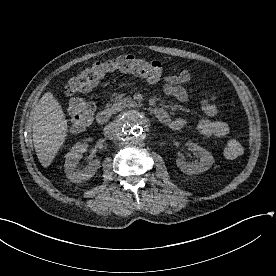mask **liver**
I'll return each mask as SVG.
<instances>
[{"instance_id":"liver-1","label":"liver","mask_w":276,"mask_h":276,"mask_svg":"<svg viewBox=\"0 0 276 276\" xmlns=\"http://www.w3.org/2000/svg\"><path fill=\"white\" fill-rule=\"evenodd\" d=\"M33 143L36 155L43 167H48L64 144L68 124L58 100L46 92L32 112Z\"/></svg>"}]
</instances>
